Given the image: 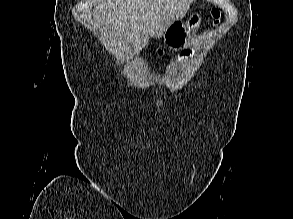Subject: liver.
Wrapping results in <instances>:
<instances>
[{"label": "liver", "mask_w": 293, "mask_h": 219, "mask_svg": "<svg viewBox=\"0 0 293 219\" xmlns=\"http://www.w3.org/2000/svg\"><path fill=\"white\" fill-rule=\"evenodd\" d=\"M195 0H98L91 9L93 30L112 53L137 56L149 37H162Z\"/></svg>", "instance_id": "1"}]
</instances>
